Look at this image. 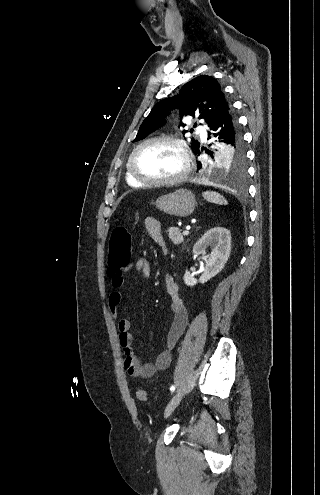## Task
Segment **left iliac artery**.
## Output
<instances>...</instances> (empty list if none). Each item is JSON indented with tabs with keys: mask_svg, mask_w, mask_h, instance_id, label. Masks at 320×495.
I'll return each mask as SVG.
<instances>
[{
	"mask_svg": "<svg viewBox=\"0 0 320 495\" xmlns=\"http://www.w3.org/2000/svg\"><path fill=\"white\" fill-rule=\"evenodd\" d=\"M170 390H171V391H174V390H175V386H174V385H173V386H171V387H170Z\"/></svg>",
	"mask_w": 320,
	"mask_h": 495,
	"instance_id": "1",
	"label": "left iliac artery"
}]
</instances>
